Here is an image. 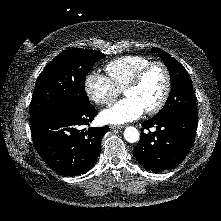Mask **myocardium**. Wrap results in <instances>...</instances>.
I'll return each mask as SVG.
<instances>
[{
    "label": "myocardium",
    "mask_w": 221,
    "mask_h": 221,
    "mask_svg": "<svg viewBox=\"0 0 221 221\" xmlns=\"http://www.w3.org/2000/svg\"><path fill=\"white\" fill-rule=\"evenodd\" d=\"M154 67H159L162 69L164 73V77H165V86H164L162 96L159 99V101L156 103V105L145 110V113L148 115L158 113L164 107L170 95L172 82H171L170 71L168 67L166 66V64H164L161 61H150L148 64L144 65L134 74V76L131 78V80L127 83V85L124 88V92H125L128 89L137 87L141 83L145 75Z\"/></svg>",
    "instance_id": "f54148a6"
}]
</instances>
